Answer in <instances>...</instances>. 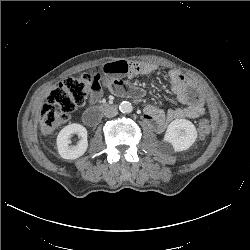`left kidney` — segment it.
<instances>
[{
  "instance_id": "left-kidney-1",
  "label": "left kidney",
  "mask_w": 250,
  "mask_h": 250,
  "mask_svg": "<svg viewBox=\"0 0 250 250\" xmlns=\"http://www.w3.org/2000/svg\"><path fill=\"white\" fill-rule=\"evenodd\" d=\"M197 130L187 119L173 120L166 130L164 141L169 143L176 152L189 149L196 141Z\"/></svg>"
}]
</instances>
